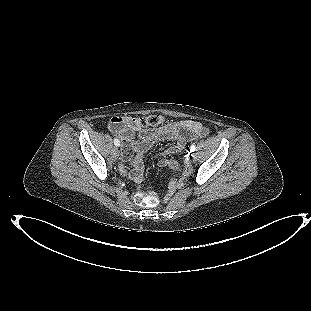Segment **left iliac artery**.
Wrapping results in <instances>:
<instances>
[{
    "label": "left iliac artery",
    "instance_id": "left-iliac-artery-1",
    "mask_svg": "<svg viewBox=\"0 0 311 311\" xmlns=\"http://www.w3.org/2000/svg\"><path fill=\"white\" fill-rule=\"evenodd\" d=\"M195 150H196V146L194 144H192L190 147V152H194Z\"/></svg>",
    "mask_w": 311,
    "mask_h": 311
}]
</instances>
